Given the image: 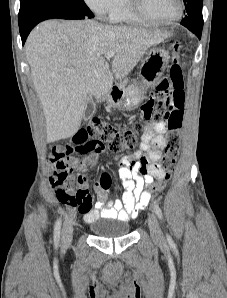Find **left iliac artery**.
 Instances as JSON below:
<instances>
[{
    "mask_svg": "<svg viewBox=\"0 0 227 298\" xmlns=\"http://www.w3.org/2000/svg\"><path fill=\"white\" fill-rule=\"evenodd\" d=\"M153 208H154V212L156 213V215L158 216V218L160 220L163 219V214H162V210L161 208L158 206V204L154 203L153 204Z\"/></svg>",
    "mask_w": 227,
    "mask_h": 298,
    "instance_id": "left-iliac-artery-1",
    "label": "left iliac artery"
}]
</instances>
